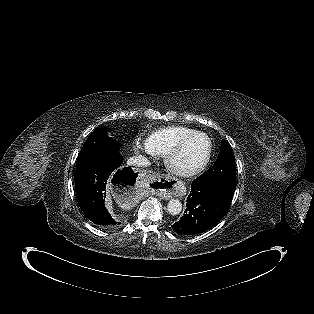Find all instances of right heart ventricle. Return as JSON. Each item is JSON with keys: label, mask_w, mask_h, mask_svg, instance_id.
<instances>
[{"label": "right heart ventricle", "mask_w": 314, "mask_h": 314, "mask_svg": "<svg viewBox=\"0 0 314 314\" xmlns=\"http://www.w3.org/2000/svg\"><path fill=\"white\" fill-rule=\"evenodd\" d=\"M195 131L185 126L164 127L150 133L146 142L155 156H166L183 137Z\"/></svg>", "instance_id": "obj_1"}]
</instances>
